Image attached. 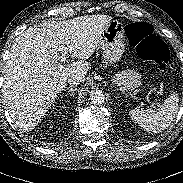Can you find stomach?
I'll list each match as a JSON object with an SVG mask.
<instances>
[{"label": "stomach", "instance_id": "0dacf381", "mask_svg": "<svg viewBox=\"0 0 183 183\" xmlns=\"http://www.w3.org/2000/svg\"><path fill=\"white\" fill-rule=\"evenodd\" d=\"M98 46L103 51L106 63L113 64L120 60L125 50L124 26L112 20L103 30ZM114 83L125 92H132L141 84V75L133 70H123L115 74Z\"/></svg>", "mask_w": 183, "mask_h": 183}]
</instances>
